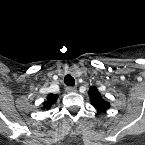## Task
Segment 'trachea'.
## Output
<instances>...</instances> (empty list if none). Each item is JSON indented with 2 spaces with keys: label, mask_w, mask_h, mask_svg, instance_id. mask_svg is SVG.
<instances>
[{
  "label": "trachea",
  "mask_w": 145,
  "mask_h": 145,
  "mask_svg": "<svg viewBox=\"0 0 145 145\" xmlns=\"http://www.w3.org/2000/svg\"><path fill=\"white\" fill-rule=\"evenodd\" d=\"M64 83L67 86H74L75 80L71 75H66L65 78H64Z\"/></svg>",
  "instance_id": "1"
}]
</instances>
